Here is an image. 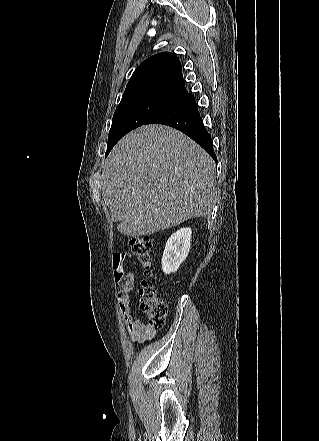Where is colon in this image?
Returning <instances> with one entry per match:
<instances>
[{"label":"colon","instance_id":"5ec220e1","mask_svg":"<svg viewBox=\"0 0 319 441\" xmlns=\"http://www.w3.org/2000/svg\"><path fill=\"white\" fill-rule=\"evenodd\" d=\"M133 254L139 263L146 269L147 275L151 265L153 242L149 237L133 238L130 242ZM115 283L117 289L123 288V266L115 265ZM140 308L145 313L149 326L160 328L163 326L167 314L166 304L157 296L153 286L146 280L142 281L139 288Z\"/></svg>","mask_w":319,"mask_h":441}]
</instances>
